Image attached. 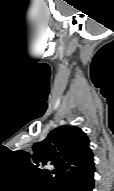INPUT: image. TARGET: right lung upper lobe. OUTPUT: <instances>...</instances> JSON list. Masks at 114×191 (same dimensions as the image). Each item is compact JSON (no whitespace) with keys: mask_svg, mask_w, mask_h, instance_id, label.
Here are the masks:
<instances>
[{"mask_svg":"<svg viewBox=\"0 0 114 191\" xmlns=\"http://www.w3.org/2000/svg\"><path fill=\"white\" fill-rule=\"evenodd\" d=\"M18 154L38 173L51 178L55 186L95 169L89 139L76 126L63 125L52 130L45 140L34 144L32 156L24 151Z\"/></svg>","mask_w":114,"mask_h":191,"instance_id":"1","label":"right lung upper lobe"}]
</instances>
